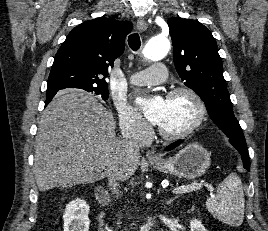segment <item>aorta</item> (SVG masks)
<instances>
[{
	"mask_svg": "<svg viewBox=\"0 0 268 231\" xmlns=\"http://www.w3.org/2000/svg\"><path fill=\"white\" fill-rule=\"evenodd\" d=\"M169 49L170 41L165 37L156 36L145 45L142 54L147 60L159 61L167 55Z\"/></svg>",
	"mask_w": 268,
	"mask_h": 231,
	"instance_id": "762f6f07",
	"label": "aorta"
}]
</instances>
